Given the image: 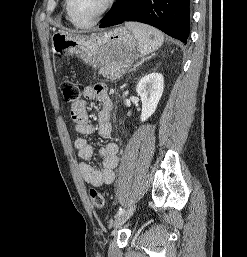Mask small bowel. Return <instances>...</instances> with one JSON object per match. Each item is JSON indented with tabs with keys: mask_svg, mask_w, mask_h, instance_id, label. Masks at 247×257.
Returning a JSON list of instances; mask_svg holds the SVG:
<instances>
[{
	"mask_svg": "<svg viewBox=\"0 0 247 257\" xmlns=\"http://www.w3.org/2000/svg\"><path fill=\"white\" fill-rule=\"evenodd\" d=\"M85 99H97L102 107L98 112L97 132L101 138L109 139L113 135L111 123L113 103L104 84L88 86L84 89ZM71 118L74 122L76 131L82 136H89L95 133L96 129L90 121L86 100H79L71 105ZM74 146L81 159L79 170L84 181L93 187H100L104 184H111L114 181V170L118 164V145L108 142L98 150L102 158V167L96 168L91 165L95 151L91 144L84 137L75 140Z\"/></svg>",
	"mask_w": 247,
	"mask_h": 257,
	"instance_id": "1",
	"label": "small bowel"
}]
</instances>
